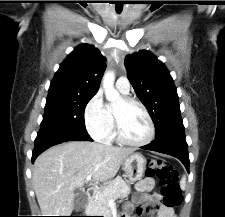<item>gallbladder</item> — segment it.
<instances>
[{"mask_svg": "<svg viewBox=\"0 0 225 217\" xmlns=\"http://www.w3.org/2000/svg\"><path fill=\"white\" fill-rule=\"evenodd\" d=\"M74 194H75L73 201L74 210L79 211L86 206L87 195L82 190H76Z\"/></svg>", "mask_w": 225, "mask_h": 217, "instance_id": "gallbladder-1", "label": "gallbladder"}]
</instances>
